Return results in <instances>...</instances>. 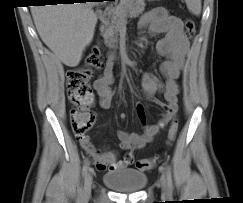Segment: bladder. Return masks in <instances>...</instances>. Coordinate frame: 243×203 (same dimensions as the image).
<instances>
[{
	"instance_id": "1",
	"label": "bladder",
	"mask_w": 243,
	"mask_h": 203,
	"mask_svg": "<svg viewBox=\"0 0 243 203\" xmlns=\"http://www.w3.org/2000/svg\"><path fill=\"white\" fill-rule=\"evenodd\" d=\"M102 180L108 187L118 192L133 193L146 185L148 177L136 169L119 168L105 173Z\"/></svg>"
}]
</instances>
